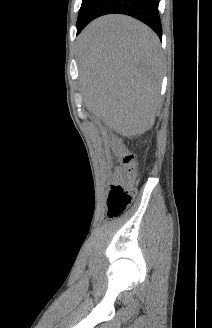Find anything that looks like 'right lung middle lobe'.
<instances>
[{"label":"right lung middle lobe","instance_id":"dd1d6c3e","mask_svg":"<svg viewBox=\"0 0 212 328\" xmlns=\"http://www.w3.org/2000/svg\"><path fill=\"white\" fill-rule=\"evenodd\" d=\"M96 0H82V5L79 10V16L77 20V27L83 22L89 8Z\"/></svg>","mask_w":212,"mask_h":328}]
</instances>
